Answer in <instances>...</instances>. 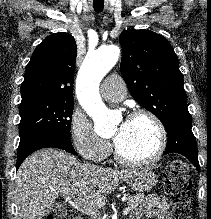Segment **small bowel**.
Wrapping results in <instances>:
<instances>
[{
    "instance_id": "1",
    "label": "small bowel",
    "mask_w": 211,
    "mask_h": 219,
    "mask_svg": "<svg viewBox=\"0 0 211 219\" xmlns=\"http://www.w3.org/2000/svg\"><path fill=\"white\" fill-rule=\"evenodd\" d=\"M143 217L171 219L165 198L157 195L150 196L144 206L133 212L130 219H142Z\"/></svg>"
}]
</instances>
